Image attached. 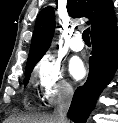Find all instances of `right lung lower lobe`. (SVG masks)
<instances>
[{
    "instance_id": "right-lung-lower-lobe-1",
    "label": "right lung lower lobe",
    "mask_w": 118,
    "mask_h": 123,
    "mask_svg": "<svg viewBox=\"0 0 118 123\" xmlns=\"http://www.w3.org/2000/svg\"><path fill=\"white\" fill-rule=\"evenodd\" d=\"M89 76L76 89L68 117L75 123H85L96 101L112 79L118 66V31L116 25L106 33L92 38Z\"/></svg>"
}]
</instances>
